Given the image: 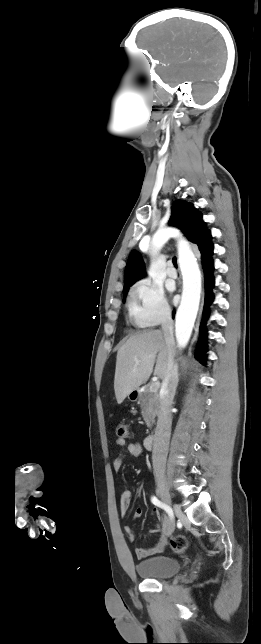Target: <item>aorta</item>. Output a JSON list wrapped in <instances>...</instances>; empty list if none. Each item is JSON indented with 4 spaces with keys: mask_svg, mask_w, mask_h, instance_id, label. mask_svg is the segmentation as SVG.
<instances>
[{
    "mask_svg": "<svg viewBox=\"0 0 261 644\" xmlns=\"http://www.w3.org/2000/svg\"><path fill=\"white\" fill-rule=\"evenodd\" d=\"M167 234L157 232L152 240L154 251L162 248L167 241ZM179 265L183 277V293L176 314V339L180 348H184L191 336L198 312L201 292L200 271L191 251L183 249L179 252Z\"/></svg>",
    "mask_w": 261,
    "mask_h": 644,
    "instance_id": "762f6f07",
    "label": "aorta"
}]
</instances>
